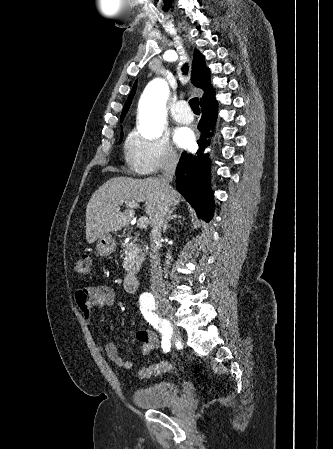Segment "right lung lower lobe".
<instances>
[{"label":"right lung lower lobe","mask_w":333,"mask_h":449,"mask_svg":"<svg viewBox=\"0 0 333 449\" xmlns=\"http://www.w3.org/2000/svg\"><path fill=\"white\" fill-rule=\"evenodd\" d=\"M200 106L202 118L198 124L201 132V137L197 141L199 150L195 155L182 153L176 169V188L196 210L197 216L208 222L212 218L214 207L209 184L210 163L203 152L209 145V130H212L216 120L215 93L212 92L204 97L200 101ZM210 120L213 122H209Z\"/></svg>","instance_id":"right-lung-lower-lobe-1"}]
</instances>
